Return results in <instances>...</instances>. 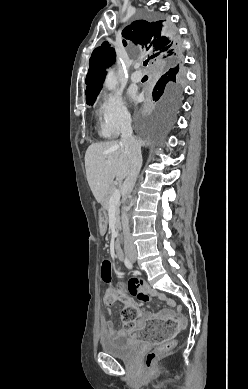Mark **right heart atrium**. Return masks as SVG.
I'll list each match as a JSON object with an SVG mask.
<instances>
[{"label":"right heart atrium","mask_w":248,"mask_h":389,"mask_svg":"<svg viewBox=\"0 0 248 389\" xmlns=\"http://www.w3.org/2000/svg\"><path fill=\"white\" fill-rule=\"evenodd\" d=\"M103 131L107 136H117L130 126L131 116L122 97L109 93L102 97L98 109Z\"/></svg>","instance_id":"d8ad5b80"}]
</instances>
